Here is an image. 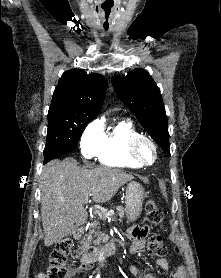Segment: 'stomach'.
I'll return each mask as SVG.
<instances>
[{
  "label": "stomach",
  "instance_id": "1",
  "mask_svg": "<svg viewBox=\"0 0 221 278\" xmlns=\"http://www.w3.org/2000/svg\"><path fill=\"white\" fill-rule=\"evenodd\" d=\"M145 197V190L139 183L132 181L127 184L125 210L129 222H134L140 216Z\"/></svg>",
  "mask_w": 221,
  "mask_h": 278
}]
</instances>
